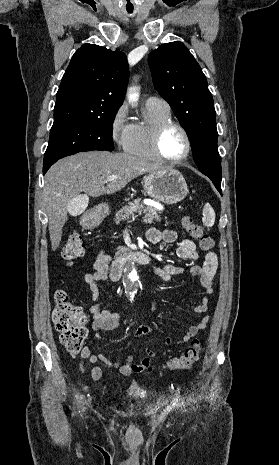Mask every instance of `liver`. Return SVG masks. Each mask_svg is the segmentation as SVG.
<instances>
[{"mask_svg":"<svg viewBox=\"0 0 279 465\" xmlns=\"http://www.w3.org/2000/svg\"><path fill=\"white\" fill-rule=\"evenodd\" d=\"M165 169L163 166L126 153L89 151L57 161L45 174L43 205L49 220L52 250L61 241L62 230L68 220L69 204L84 192L91 197L113 194L122 190L131 180L145 173ZM109 176H115L108 181ZM105 184H107L105 186ZM86 200L85 208L88 203Z\"/></svg>","mask_w":279,"mask_h":465,"instance_id":"liver-1","label":"liver"}]
</instances>
